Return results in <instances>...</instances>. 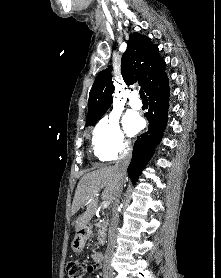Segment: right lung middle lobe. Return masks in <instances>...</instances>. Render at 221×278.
Instances as JSON below:
<instances>
[{"label":"right lung middle lobe","mask_w":221,"mask_h":278,"mask_svg":"<svg viewBox=\"0 0 221 278\" xmlns=\"http://www.w3.org/2000/svg\"><path fill=\"white\" fill-rule=\"evenodd\" d=\"M89 125H95V124H87L86 126H89Z\"/></svg>","instance_id":"right-lung-middle-lobe-1"}]
</instances>
